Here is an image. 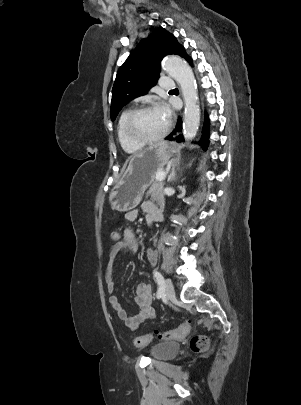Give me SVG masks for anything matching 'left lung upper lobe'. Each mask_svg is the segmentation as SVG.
Wrapping results in <instances>:
<instances>
[{"label":"left lung upper lobe","mask_w":301,"mask_h":405,"mask_svg":"<svg viewBox=\"0 0 301 405\" xmlns=\"http://www.w3.org/2000/svg\"><path fill=\"white\" fill-rule=\"evenodd\" d=\"M171 54L188 58L175 36L163 28L155 30L149 37L140 41L117 72L112 89V121L127 102L146 94L156 84L160 62L164 56Z\"/></svg>","instance_id":"left-lung-upper-lobe-1"}]
</instances>
